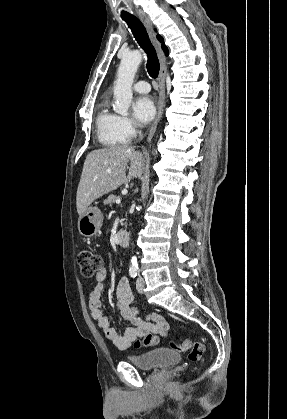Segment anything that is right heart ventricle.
<instances>
[{
  "instance_id": "right-heart-ventricle-1",
  "label": "right heart ventricle",
  "mask_w": 287,
  "mask_h": 419,
  "mask_svg": "<svg viewBox=\"0 0 287 419\" xmlns=\"http://www.w3.org/2000/svg\"><path fill=\"white\" fill-rule=\"evenodd\" d=\"M96 132L99 142L106 147H116L127 142L119 128V116L110 111L107 101L99 105Z\"/></svg>"
}]
</instances>
